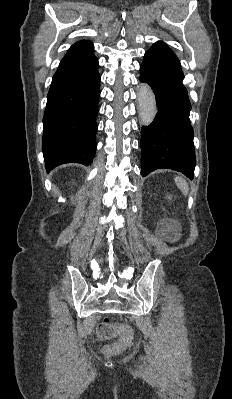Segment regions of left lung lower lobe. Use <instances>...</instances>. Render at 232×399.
Returning a JSON list of instances; mask_svg holds the SVG:
<instances>
[{"mask_svg":"<svg viewBox=\"0 0 232 399\" xmlns=\"http://www.w3.org/2000/svg\"><path fill=\"white\" fill-rule=\"evenodd\" d=\"M183 79L180 61L165 43L159 41L145 53L140 81L152 88L158 111L153 122L141 129L142 176L166 168L194 178L192 107Z\"/></svg>","mask_w":232,"mask_h":399,"instance_id":"0a47b994","label":"left lung lower lobe"}]
</instances>
